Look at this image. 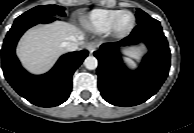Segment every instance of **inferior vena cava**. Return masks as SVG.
Masks as SVG:
<instances>
[{
	"label": "inferior vena cava",
	"mask_w": 194,
	"mask_h": 133,
	"mask_svg": "<svg viewBox=\"0 0 194 133\" xmlns=\"http://www.w3.org/2000/svg\"><path fill=\"white\" fill-rule=\"evenodd\" d=\"M62 47L66 50V51H75L78 49V44L76 42H72V41H66L62 43Z\"/></svg>",
	"instance_id": "1"
}]
</instances>
